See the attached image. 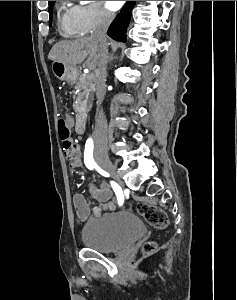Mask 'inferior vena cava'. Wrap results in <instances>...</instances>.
<instances>
[{"instance_id": "inferior-vena-cava-1", "label": "inferior vena cava", "mask_w": 237, "mask_h": 300, "mask_svg": "<svg viewBox=\"0 0 237 300\" xmlns=\"http://www.w3.org/2000/svg\"><path fill=\"white\" fill-rule=\"evenodd\" d=\"M115 15L114 13H110L107 9H103L101 11V19L98 23V27L96 31H94L92 37L97 39L100 43V53L98 69L96 71V97H97V107H100L104 95H105V81H106V67H107V59H108V43H107V31L109 25H111ZM97 119H96V127H95V135L97 137V141H99L98 137H103L104 141L107 139V131L105 129V115L101 109V111H97Z\"/></svg>"}]
</instances>
